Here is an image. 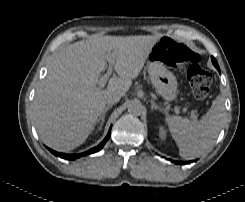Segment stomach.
Instances as JSON below:
<instances>
[{"instance_id": "stomach-1", "label": "stomach", "mask_w": 245, "mask_h": 202, "mask_svg": "<svg viewBox=\"0 0 245 202\" xmlns=\"http://www.w3.org/2000/svg\"><path fill=\"white\" fill-rule=\"evenodd\" d=\"M148 73L157 94L168 102L173 101L176 98L177 80L167 69L156 44L148 56Z\"/></svg>"}]
</instances>
